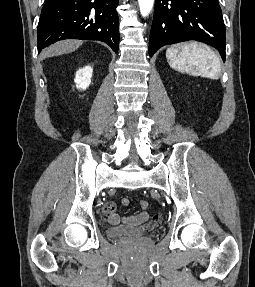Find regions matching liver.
I'll use <instances>...</instances> for the list:
<instances>
[{
	"mask_svg": "<svg viewBox=\"0 0 255 287\" xmlns=\"http://www.w3.org/2000/svg\"><path fill=\"white\" fill-rule=\"evenodd\" d=\"M82 44V40H63V42H56L53 46H49V48L43 50L41 56L42 58H51V56L70 54V52H75Z\"/></svg>",
	"mask_w": 255,
	"mask_h": 287,
	"instance_id": "obj_1",
	"label": "liver"
}]
</instances>
